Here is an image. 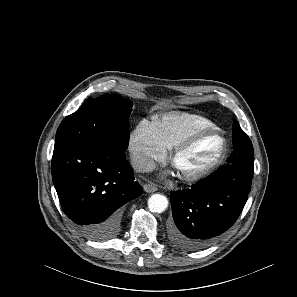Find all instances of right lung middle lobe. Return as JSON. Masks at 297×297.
Listing matches in <instances>:
<instances>
[{
  "mask_svg": "<svg viewBox=\"0 0 297 297\" xmlns=\"http://www.w3.org/2000/svg\"><path fill=\"white\" fill-rule=\"evenodd\" d=\"M131 111L132 102L117 94L89 98L61 122L55 145L94 140L125 151L129 141Z\"/></svg>",
  "mask_w": 297,
  "mask_h": 297,
  "instance_id": "obj_1",
  "label": "right lung middle lobe"
}]
</instances>
